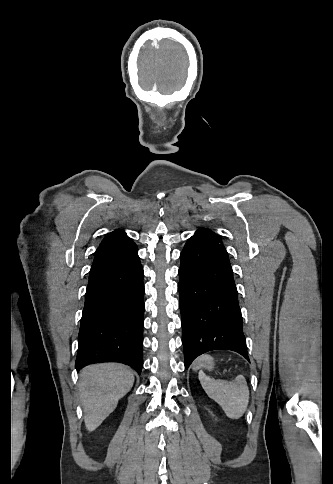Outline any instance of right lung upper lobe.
<instances>
[{
	"label": "right lung upper lobe",
	"mask_w": 333,
	"mask_h": 484,
	"mask_svg": "<svg viewBox=\"0 0 333 484\" xmlns=\"http://www.w3.org/2000/svg\"><path fill=\"white\" fill-rule=\"evenodd\" d=\"M134 244L135 243L129 239L123 230H115L105 236L98 247L96 254L123 249Z\"/></svg>",
	"instance_id": "cb5924a9"
}]
</instances>
